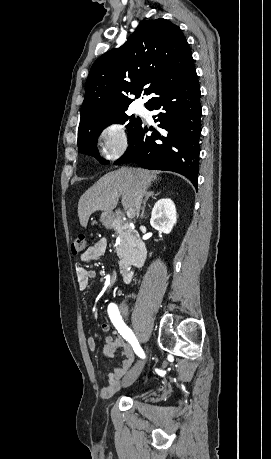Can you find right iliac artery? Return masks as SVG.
<instances>
[{"label":"right iliac artery","instance_id":"1","mask_svg":"<svg viewBox=\"0 0 271 459\" xmlns=\"http://www.w3.org/2000/svg\"><path fill=\"white\" fill-rule=\"evenodd\" d=\"M108 314H109V317H110L113 325L115 326V328L118 330L120 335H122V337L124 339H126V341H128L131 344V346L133 347V350L135 351V353L140 358H145L144 351L140 347L139 342L136 339V337H135L134 333L132 332V330L122 320V317L120 315V312H119L118 307H117L116 304H114V303H110L109 304V306H108ZM150 376L151 375L145 376V381H150ZM142 380H144V379H142Z\"/></svg>","mask_w":271,"mask_h":459}]
</instances>
